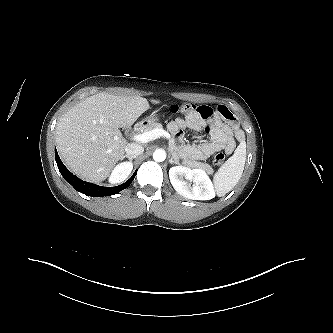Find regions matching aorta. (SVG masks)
<instances>
[{
  "mask_svg": "<svg viewBox=\"0 0 333 333\" xmlns=\"http://www.w3.org/2000/svg\"><path fill=\"white\" fill-rule=\"evenodd\" d=\"M165 158H166V152L163 149H157L153 153V159L156 162H162L165 160Z\"/></svg>",
  "mask_w": 333,
  "mask_h": 333,
  "instance_id": "obj_1",
  "label": "aorta"
}]
</instances>
